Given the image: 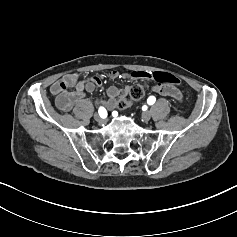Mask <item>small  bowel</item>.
Returning <instances> with one entry per match:
<instances>
[{
    "label": "small bowel",
    "instance_id": "small-bowel-1",
    "mask_svg": "<svg viewBox=\"0 0 237 237\" xmlns=\"http://www.w3.org/2000/svg\"><path fill=\"white\" fill-rule=\"evenodd\" d=\"M150 72L134 71L132 73H120L116 70L110 72L112 79H148ZM102 78L92 76L81 79L78 74L71 73L64 75L61 79L54 82L50 87V93L55 98L57 108L63 112L74 111L79 117L85 118L91 112L93 105L85 99L86 93L93 92L102 85ZM153 91L162 96H168L179 102L182 99L181 93L177 88L168 84H156ZM120 90L116 86L107 89V99L96 101V105H102L108 110H113L118 104Z\"/></svg>",
    "mask_w": 237,
    "mask_h": 237
}]
</instances>
